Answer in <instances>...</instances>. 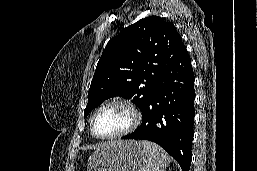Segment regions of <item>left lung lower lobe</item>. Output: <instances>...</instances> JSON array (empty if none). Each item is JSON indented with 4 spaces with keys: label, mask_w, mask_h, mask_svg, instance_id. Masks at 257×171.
I'll list each match as a JSON object with an SVG mask.
<instances>
[{
    "label": "left lung lower lobe",
    "mask_w": 257,
    "mask_h": 171,
    "mask_svg": "<svg viewBox=\"0 0 257 171\" xmlns=\"http://www.w3.org/2000/svg\"><path fill=\"white\" fill-rule=\"evenodd\" d=\"M194 73L186 47L166 65L143 113L142 124L122 139L149 140L164 148L189 171L194 121Z\"/></svg>",
    "instance_id": "left-lung-lower-lobe-1"
}]
</instances>
